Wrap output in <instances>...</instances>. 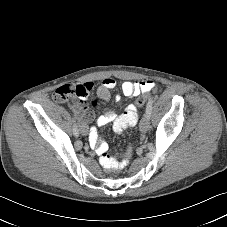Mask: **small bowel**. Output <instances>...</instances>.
Segmentation results:
<instances>
[{
  "label": "small bowel",
  "instance_id": "obj_1",
  "mask_svg": "<svg viewBox=\"0 0 227 227\" xmlns=\"http://www.w3.org/2000/svg\"><path fill=\"white\" fill-rule=\"evenodd\" d=\"M153 85V82L149 80L135 82L124 81L121 84V92L126 97H133L141 93L149 92L153 88ZM77 86L81 88L82 93L71 98L72 102L69 103V107L77 115L81 129L87 130V134H89L90 146L95 149L97 155L101 157L103 154H107L108 144L99 138L95 127L90 129L87 128V123L91 121L92 116L84 106V101L87 99L90 91L92 90L93 84L91 82H85ZM115 86L116 81L113 78H104L97 91L99 98L103 101H108L110 98V90L115 88ZM115 98L119 101L121 95L118 94ZM58 101L65 102L66 99H60ZM138 118L139 115L137 109L131 104L122 114H118L112 110L104 112L98 117L96 124L97 126H104L106 124L113 123L114 130L119 133L128 126H134L138 122Z\"/></svg>",
  "mask_w": 227,
  "mask_h": 227
}]
</instances>
